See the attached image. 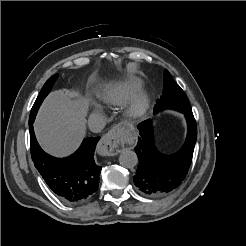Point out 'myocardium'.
Here are the masks:
<instances>
[{"mask_svg":"<svg viewBox=\"0 0 246 246\" xmlns=\"http://www.w3.org/2000/svg\"><path fill=\"white\" fill-rule=\"evenodd\" d=\"M150 109V98L145 93L133 96L127 103L125 115L131 120H139L146 116Z\"/></svg>","mask_w":246,"mask_h":246,"instance_id":"1","label":"myocardium"}]
</instances>
